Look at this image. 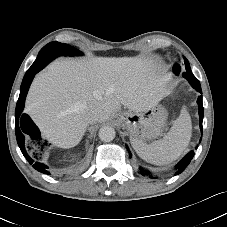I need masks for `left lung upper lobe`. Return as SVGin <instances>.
<instances>
[{
    "instance_id": "left-lung-upper-lobe-1",
    "label": "left lung upper lobe",
    "mask_w": 227,
    "mask_h": 227,
    "mask_svg": "<svg viewBox=\"0 0 227 227\" xmlns=\"http://www.w3.org/2000/svg\"><path fill=\"white\" fill-rule=\"evenodd\" d=\"M185 67L186 71L183 73V77L188 80V82L191 84V86L194 89L201 88L200 82L196 79V77L193 75L188 60L185 58Z\"/></svg>"
}]
</instances>
